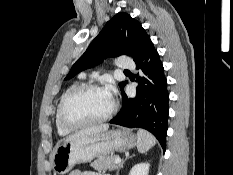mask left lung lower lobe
I'll list each match as a JSON object with an SVG mask.
<instances>
[{"mask_svg":"<svg viewBox=\"0 0 233 175\" xmlns=\"http://www.w3.org/2000/svg\"><path fill=\"white\" fill-rule=\"evenodd\" d=\"M135 63L137 69L142 71V76L136 80V96L128 98L122 92V108L110 123L146 129L158 139L165 150L169 93L164 68L154 45L151 44Z\"/></svg>","mask_w":233,"mask_h":175,"instance_id":"obj_1","label":"left lung lower lobe"}]
</instances>
